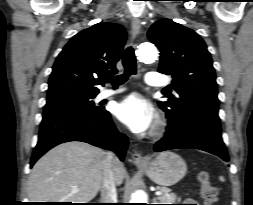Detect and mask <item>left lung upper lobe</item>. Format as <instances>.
<instances>
[{
	"mask_svg": "<svg viewBox=\"0 0 253 205\" xmlns=\"http://www.w3.org/2000/svg\"><path fill=\"white\" fill-rule=\"evenodd\" d=\"M148 38L160 49L158 71L172 76L171 87L178 94L159 102L167 118L184 119L202 110L218 113L216 76L202 38L170 19L155 22Z\"/></svg>",
	"mask_w": 253,
	"mask_h": 205,
	"instance_id": "obj_1",
	"label": "left lung upper lobe"
}]
</instances>
